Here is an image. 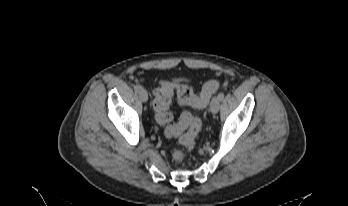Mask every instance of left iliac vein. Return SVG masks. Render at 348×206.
Here are the masks:
<instances>
[{
    "instance_id": "4c4485c4",
    "label": "left iliac vein",
    "mask_w": 348,
    "mask_h": 206,
    "mask_svg": "<svg viewBox=\"0 0 348 206\" xmlns=\"http://www.w3.org/2000/svg\"><path fill=\"white\" fill-rule=\"evenodd\" d=\"M219 107H220V100L218 99V97H214L210 103V111L213 114H216L219 111Z\"/></svg>"
}]
</instances>
